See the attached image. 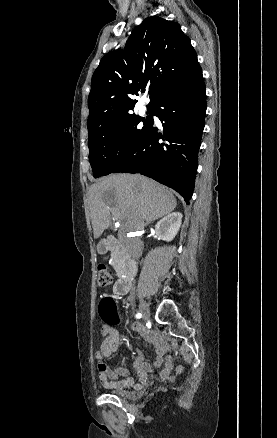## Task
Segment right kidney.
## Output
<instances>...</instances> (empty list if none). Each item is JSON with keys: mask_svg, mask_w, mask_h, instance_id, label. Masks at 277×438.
I'll return each mask as SVG.
<instances>
[{"mask_svg": "<svg viewBox=\"0 0 277 438\" xmlns=\"http://www.w3.org/2000/svg\"><path fill=\"white\" fill-rule=\"evenodd\" d=\"M182 218L183 216L180 212H172V214L164 216L155 226L156 236H158L160 240H165V242H172L179 232Z\"/></svg>", "mask_w": 277, "mask_h": 438, "instance_id": "1", "label": "right kidney"}]
</instances>
